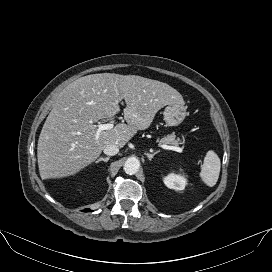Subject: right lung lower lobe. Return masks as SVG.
Wrapping results in <instances>:
<instances>
[{"label": "right lung lower lobe", "instance_id": "right-lung-lower-lobe-1", "mask_svg": "<svg viewBox=\"0 0 272 272\" xmlns=\"http://www.w3.org/2000/svg\"><path fill=\"white\" fill-rule=\"evenodd\" d=\"M90 211V209H85V210H83V212H89Z\"/></svg>", "mask_w": 272, "mask_h": 272}]
</instances>
